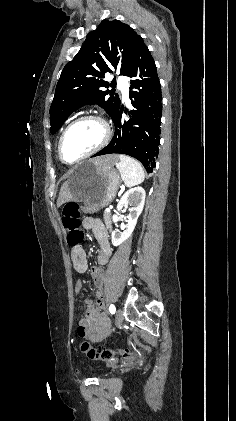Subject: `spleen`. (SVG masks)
I'll use <instances>...</instances> for the list:
<instances>
[{
  "label": "spleen",
  "mask_w": 236,
  "mask_h": 421,
  "mask_svg": "<svg viewBox=\"0 0 236 421\" xmlns=\"http://www.w3.org/2000/svg\"><path fill=\"white\" fill-rule=\"evenodd\" d=\"M118 158L119 162H116V166L126 186H134V184L143 182L145 172L138 160L131 158V156H125V154H119Z\"/></svg>",
  "instance_id": "3e777b00"
}]
</instances>
